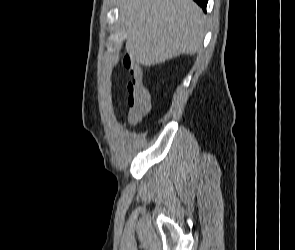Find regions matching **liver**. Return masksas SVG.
Returning a JSON list of instances; mask_svg holds the SVG:
<instances>
[{"mask_svg":"<svg viewBox=\"0 0 295 250\" xmlns=\"http://www.w3.org/2000/svg\"><path fill=\"white\" fill-rule=\"evenodd\" d=\"M126 50L140 64L157 65L202 46L205 16L192 0H118Z\"/></svg>","mask_w":295,"mask_h":250,"instance_id":"6515ba94","label":"liver"}]
</instances>
